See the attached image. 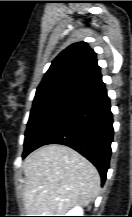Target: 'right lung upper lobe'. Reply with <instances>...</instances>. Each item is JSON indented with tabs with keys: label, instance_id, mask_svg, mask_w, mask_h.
<instances>
[{
	"label": "right lung upper lobe",
	"instance_id": "obj_1",
	"mask_svg": "<svg viewBox=\"0 0 132 217\" xmlns=\"http://www.w3.org/2000/svg\"><path fill=\"white\" fill-rule=\"evenodd\" d=\"M104 86L96 53L85 42H78L63 50L52 62L36 95L65 91L77 96Z\"/></svg>",
	"mask_w": 132,
	"mask_h": 217
}]
</instances>
